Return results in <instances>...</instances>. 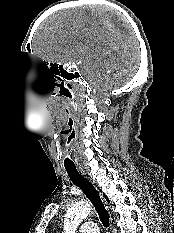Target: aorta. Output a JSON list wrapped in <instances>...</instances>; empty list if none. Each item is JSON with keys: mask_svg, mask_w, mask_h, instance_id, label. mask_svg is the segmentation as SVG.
I'll return each mask as SVG.
<instances>
[{"mask_svg": "<svg viewBox=\"0 0 174 233\" xmlns=\"http://www.w3.org/2000/svg\"><path fill=\"white\" fill-rule=\"evenodd\" d=\"M91 208L86 202L73 204L65 214L64 233H76L79 224L87 217Z\"/></svg>", "mask_w": 174, "mask_h": 233, "instance_id": "obj_1", "label": "aorta"}]
</instances>
